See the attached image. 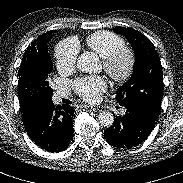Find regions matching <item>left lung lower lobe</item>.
Returning <instances> with one entry per match:
<instances>
[{"label": "left lung lower lobe", "instance_id": "obj_1", "mask_svg": "<svg viewBox=\"0 0 183 183\" xmlns=\"http://www.w3.org/2000/svg\"><path fill=\"white\" fill-rule=\"evenodd\" d=\"M125 107L126 114L116 116L113 126L104 131V137L111 146L129 149L147 139L158 118L136 106Z\"/></svg>", "mask_w": 183, "mask_h": 183}]
</instances>
